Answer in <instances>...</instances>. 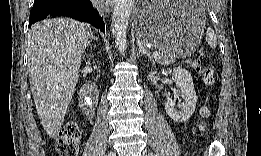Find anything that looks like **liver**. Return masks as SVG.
Returning a JSON list of instances; mask_svg holds the SVG:
<instances>
[{
	"label": "liver",
	"mask_w": 261,
	"mask_h": 156,
	"mask_svg": "<svg viewBox=\"0 0 261 156\" xmlns=\"http://www.w3.org/2000/svg\"><path fill=\"white\" fill-rule=\"evenodd\" d=\"M93 36L91 26L70 18L36 23L28 36L30 88L47 135L55 138L79 79L82 54Z\"/></svg>",
	"instance_id": "liver-1"
}]
</instances>
